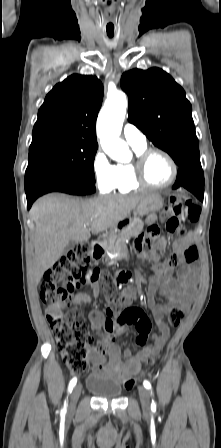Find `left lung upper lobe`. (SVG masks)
<instances>
[{
  "label": "left lung upper lobe",
  "instance_id": "obj_1",
  "mask_svg": "<svg viewBox=\"0 0 221 448\" xmlns=\"http://www.w3.org/2000/svg\"><path fill=\"white\" fill-rule=\"evenodd\" d=\"M121 87L129 97V122L166 151L179 169L200 165L191 104L169 74L159 68L133 69L122 75Z\"/></svg>",
  "mask_w": 221,
  "mask_h": 448
}]
</instances>
